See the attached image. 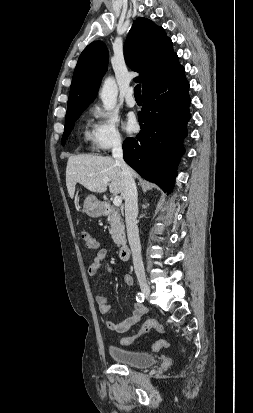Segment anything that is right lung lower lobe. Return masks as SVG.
I'll use <instances>...</instances> for the list:
<instances>
[{"mask_svg": "<svg viewBox=\"0 0 253 413\" xmlns=\"http://www.w3.org/2000/svg\"><path fill=\"white\" fill-rule=\"evenodd\" d=\"M188 89L183 67L146 89L138 114L142 131L123 143L126 163L167 193L172 191L176 166L185 152L182 143L191 118Z\"/></svg>", "mask_w": 253, "mask_h": 413, "instance_id": "98d812e1", "label": "right lung lower lobe"}]
</instances>
